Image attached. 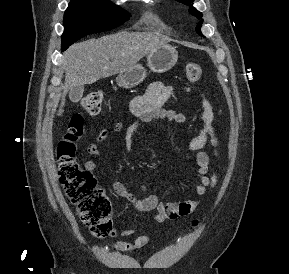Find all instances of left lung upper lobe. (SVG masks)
Masks as SVG:
<instances>
[{"label": "left lung upper lobe", "instance_id": "left-lung-upper-lobe-1", "mask_svg": "<svg viewBox=\"0 0 289 274\" xmlns=\"http://www.w3.org/2000/svg\"><path fill=\"white\" fill-rule=\"evenodd\" d=\"M177 1L180 2V3H183V4H185V5H190L194 0H177ZM189 12H190L192 15L196 16L198 19H201V18H202V13H200L199 11H197V10L192 6V4L190 5ZM201 24H202V20L198 23L197 28H196V31H197L201 36H203L202 33H201V31H200Z\"/></svg>", "mask_w": 289, "mask_h": 274}]
</instances>
